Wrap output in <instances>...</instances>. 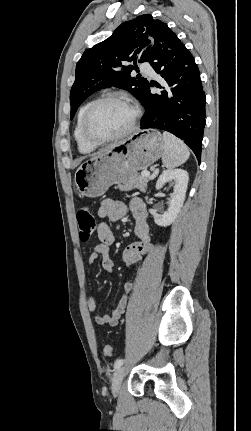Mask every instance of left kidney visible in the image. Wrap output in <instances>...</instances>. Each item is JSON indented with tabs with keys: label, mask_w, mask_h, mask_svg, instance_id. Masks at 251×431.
I'll list each match as a JSON object with an SVG mask.
<instances>
[{
	"label": "left kidney",
	"mask_w": 251,
	"mask_h": 431,
	"mask_svg": "<svg viewBox=\"0 0 251 431\" xmlns=\"http://www.w3.org/2000/svg\"><path fill=\"white\" fill-rule=\"evenodd\" d=\"M189 176L183 169H168L162 172L156 182V189L159 190L167 182H173L174 189L170 199V206L161 218H155L154 221L158 226H169L177 218L183 206Z\"/></svg>",
	"instance_id": "5707ae66"
}]
</instances>
